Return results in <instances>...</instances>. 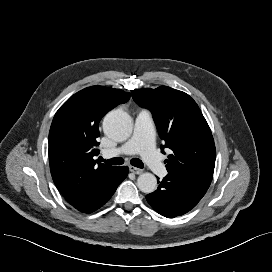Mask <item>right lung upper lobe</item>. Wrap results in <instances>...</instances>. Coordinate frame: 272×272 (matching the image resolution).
<instances>
[{"label":"right lung upper lobe","mask_w":272,"mask_h":272,"mask_svg":"<svg viewBox=\"0 0 272 272\" xmlns=\"http://www.w3.org/2000/svg\"><path fill=\"white\" fill-rule=\"evenodd\" d=\"M129 99L123 90L92 86L71 96L56 112L49 132L50 171L68 202L87 196L117 172L118 167L95 160V146L101 118Z\"/></svg>","instance_id":"right-lung-upper-lobe-1"}]
</instances>
